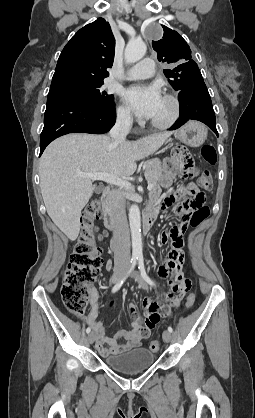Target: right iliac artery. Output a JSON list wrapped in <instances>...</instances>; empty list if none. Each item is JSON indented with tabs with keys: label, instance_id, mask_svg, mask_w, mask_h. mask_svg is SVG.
<instances>
[{
	"label": "right iliac artery",
	"instance_id": "right-iliac-artery-1",
	"mask_svg": "<svg viewBox=\"0 0 255 418\" xmlns=\"http://www.w3.org/2000/svg\"><path fill=\"white\" fill-rule=\"evenodd\" d=\"M136 262H137V257H135V256L132 257V259H131V265H130V268H129L126 276H124L119 282L116 283V285L112 288V293L117 292L121 288V286L123 285V283L125 282V280L127 279V277L134 270V268L136 266ZM90 331H91V328L88 327L86 329V333H90Z\"/></svg>",
	"mask_w": 255,
	"mask_h": 418
}]
</instances>
